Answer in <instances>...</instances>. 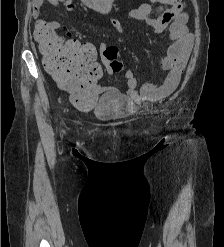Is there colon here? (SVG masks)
<instances>
[{"instance_id": "obj_1", "label": "colon", "mask_w": 224, "mask_h": 247, "mask_svg": "<svg viewBox=\"0 0 224 247\" xmlns=\"http://www.w3.org/2000/svg\"><path fill=\"white\" fill-rule=\"evenodd\" d=\"M161 6H168L171 0H151ZM70 7V0H66ZM35 36L47 54L45 67L47 71L70 92L72 103L78 108H91L98 100V94L91 83L101 76V68L95 62L96 50L91 44H81L75 41L62 43L52 29L45 24H36ZM103 57L113 73L123 70L118 49L107 46ZM76 58V59H74Z\"/></svg>"}]
</instances>
